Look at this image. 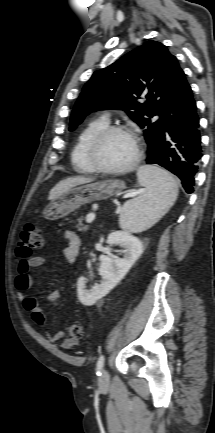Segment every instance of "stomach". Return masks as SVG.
Instances as JSON below:
<instances>
[{
  "instance_id": "stomach-1",
  "label": "stomach",
  "mask_w": 215,
  "mask_h": 433,
  "mask_svg": "<svg viewBox=\"0 0 215 433\" xmlns=\"http://www.w3.org/2000/svg\"><path fill=\"white\" fill-rule=\"evenodd\" d=\"M124 188V183L119 180H105L71 188L53 200L44 210L43 216L48 220L64 218L82 205L108 199Z\"/></svg>"
}]
</instances>
